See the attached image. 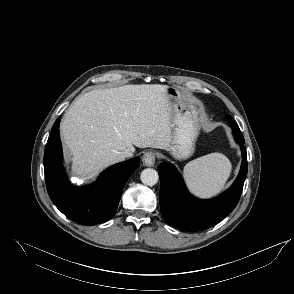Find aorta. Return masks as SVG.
I'll list each match as a JSON object with an SVG mask.
<instances>
[{
  "instance_id": "762f6f07",
  "label": "aorta",
  "mask_w": 294,
  "mask_h": 294,
  "mask_svg": "<svg viewBox=\"0 0 294 294\" xmlns=\"http://www.w3.org/2000/svg\"><path fill=\"white\" fill-rule=\"evenodd\" d=\"M140 179L143 184L153 186L158 182L159 175L156 170L152 168H147L141 172Z\"/></svg>"
}]
</instances>
